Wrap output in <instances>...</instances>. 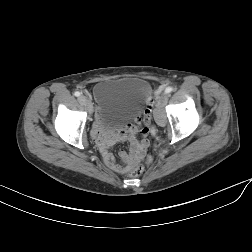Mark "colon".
Wrapping results in <instances>:
<instances>
[{"instance_id":"obj_1","label":"colon","mask_w":252,"mask_h":252,"mask_svg":"<svg viewBox=\"0 0 252 252\" xmlns=\"http://www.w3.org/2000/svg\"><path fill=\"white\" fill-rule=\"evenodd\" d=\"M153 104H154L153 99H150L144 113V122L145 124H148V125H151V111H152ZM147 160L148 162H151L152 159L149 156ZM143 171H144L143 164H138L130 169L129 176L138 177L143 173Z\"/></svg>"}]
</instances>
